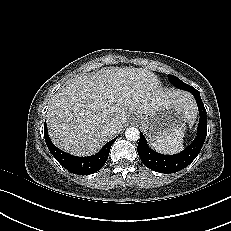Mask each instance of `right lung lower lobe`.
Returning <instances> with one entry per match:
<instances>
[{
	"instance_id": "obj_1",
	"label": "right lung lower lobe",
	"mask_w": 231,
	"mask_h": 231,
	"mask_svg": "<svg viewBox=\"0 0 231 231\" xmlns=\"http://www.w3.org/2000/svg\"><path fill=\"white\" fill-rule=\"evenodd\" d=\"M45 142L55 159L68 171L77 175H89L99 171L105 164L110 148L116 139L106 143L95 155L88 157H77L58 149L50 140L47 132L46 122L44 124Z\"/></svg>"
}]
</instances>
